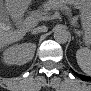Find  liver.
I'll return each mask as SVG.
<instances>
[{
	"instance_id": "1",
	"label": "liver",
	"mask_w": 91,
	"mask_h": 91,
	"mask_svg": "<svg viewBox=\"0 0 91 91\" xmlns=\"http://www.w3.org/2000/svg\"><path fill=\"white\" fill-rule=\"evenodd\" d=\"M37 21L35 19H31L30 23L26 22L20 27L19 30L13 31L10 30L9 25L3 28L1 31V45L2 44H10L16 41L21 40L25 34L30 30L31 27L35 26ZM33 58V55L30 57L29 61Z\"/></svg>"
}]
</instances>
